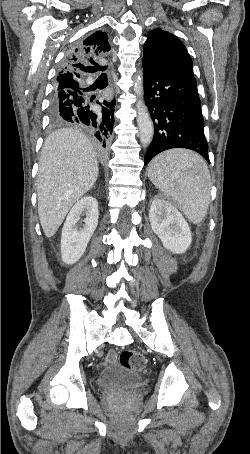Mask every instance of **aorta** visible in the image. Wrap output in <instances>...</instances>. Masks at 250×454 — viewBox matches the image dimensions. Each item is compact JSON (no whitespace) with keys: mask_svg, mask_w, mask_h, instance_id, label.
<instances>
[{"mask_svg":"<svg viewBox=\"0 0 250 454\" xmlns=\"http://www.w3.org/2000/svg\"><path fill=\"white\" fill-rule=\"evenodd\" d=\"M134 92L140 98L136 104L137 109V124L140 134V142L143 146H147L151 143L154 135V126L150 118L148 109L143 101V73L140 72L135 76L134 80Z\"/></svg>","mask_w":250,"mask_h":454,"instance_id":"762f6f07","label":"aorta"}]
</instances>
